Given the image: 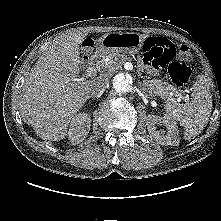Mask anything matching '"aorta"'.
Wrapping results in <instances>:
<instances>
[{"instance_id":"aorta-1","label":"aorta","mask_w":221,"mask_h":221,"mask_svg":"<svg viewBox=\"0 0 221 221\" xmlns=\"http://www.w3.org/2000/svg\"><path fill=\"white\" fill-rule=\"evenodd\" d=\"M113 88L118 93H126L131 88V79L125 74L119 73L113 78Z\"/></svg>"}]
</instances>
